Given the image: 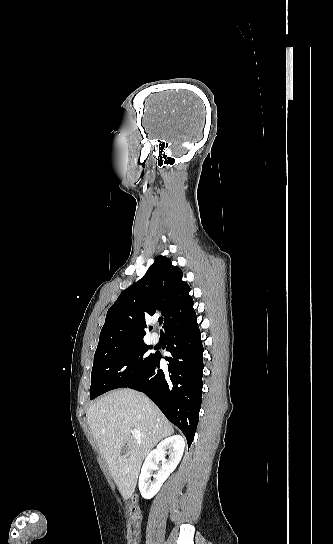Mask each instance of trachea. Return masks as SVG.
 I'll use <instances>...</instances> for the list:
<instances>
[{
  "instance_id": "3493384b",
  "label": "trachea",
  "mask_w": 333,
  "mask_h": 544,
  "mask_svg": "<svg viewBox=\"0 0 333 544\" xmlns=\"http://www.w3.org/2000/svg\"><path fill=\"white\" fill-rule=\"evenodd\" d=\"M158 322H159V324H162V323H163V317H160V318L158 319Z\"/></svg>"
}]
</instances>
